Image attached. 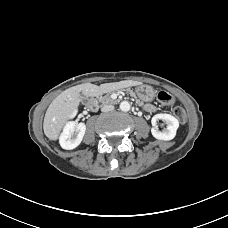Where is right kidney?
Listing matches in <instances>:
<instances>
[{
	"label": "right kidney",
	"instance_id": "ca27d5eb",
	"mask_svg": "<svg viewBox=\"0 0 228 228\" xmlns=\"http://www.w3.org/2000/svg\"><path fill=\"white\" fill-rule=\"evenodd\" d=\"M76 111L72 117L75 116ZM86 131V125L82 122H68L60 136V145L63 149L72 150L80 145Z\"/></svg>",
	"mask_w": 228,
	"mask_h": 228
}]
</instances>
